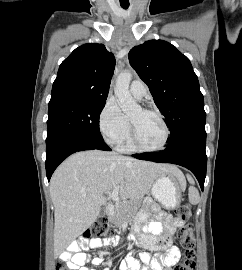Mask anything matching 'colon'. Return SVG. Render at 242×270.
I'll list each match as a JSON object with an SVG mask.
<instances>
[{
	"instance_id": "1",
	"label": "colon",
	"mask_w": 242,
	"mask_h": 270,
	"mask_svg": "<svg viewBox=\"0 0 242 270\" xmlns=\"http://www.w3.org/2000/svg\"><path fill=\"white\" fill-rule=\"evenodd\" d=\"M191 215L190 206L183 204L175 210V216L179 220H186ZM114 227L106 218L99 219L88 231L84 234V239H105L112 236ZM178 240L183 248L184 260L173 270H195V233L190 225L181 228L178 231ZM55 270H66V266L61 259L57 260Z\"/></svg>"
}]
</instances>
